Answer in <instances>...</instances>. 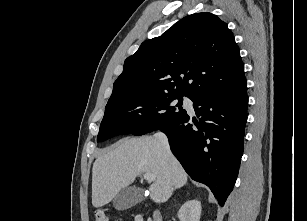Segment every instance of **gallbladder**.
<instances>
[{
  "label": "gallbladder",
  "mask_w": 307,
  "mask_h": 221,
  "mask_svg": "<svg viewBox=\"0 0 307 221\" xmlns=\"http://www.w3.org/2000/svg\"><path fill=\"white\" fill-rule=\"evenodd\" d=\"M142 200V195L140 189L136 187H126L121 191L113 199V206L117 210H126Z\"/></svg>",
  "instance_id": "bac80fb5"
}]
</instances>
